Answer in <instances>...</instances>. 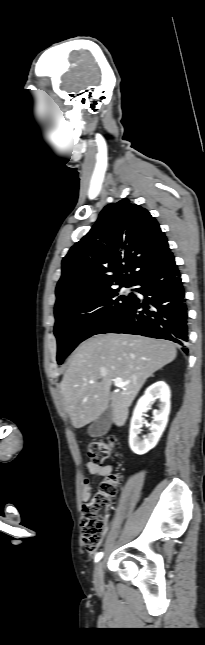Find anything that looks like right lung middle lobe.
I'll return each instance as SVG.
<instances>
[{
	"mask_svg": "<svg viewBox=\"0 0 205 645\" xmlns=\"http://www.w3.org/2000/svg\"><path fill=\"white\" fill-rule=\"evenodd\" d=\"M130 287L131 284L120 285ZM133 294L120 295L119 289H109L81 297L55 314L54 334L57 338L58 364L85 339L101 334L120 317L131 303ZM97 309L98 307H101Z\"/></svg>",
	"mask_w": 205,
	"mask_h": 645,
	"instance_id": "right-lung-middle-lobe-1",
	"label": "right lung middle lobe"
}]
</instances>
